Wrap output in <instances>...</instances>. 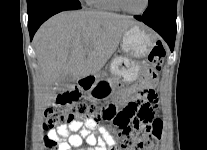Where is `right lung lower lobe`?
<instances>
[{"mask_svg":"<svg viewBox=\"0 0 207 150\" xmlns=\"http://www.w3.org/2000/svg\"><path fill=\"white\" fill-rule=\"evenodd\" d=\"M76 9H81V6L63 0H52L44 3L38 8L28 11V29L30 39L32 40L40 25L54 14L65 10Z\"/></svg>","mask_w":207,"mask_h":150,"instance_id":"1","label":"right lung lower lobe"}]
</instances>
